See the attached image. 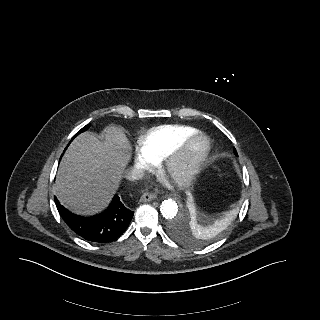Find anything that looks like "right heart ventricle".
Returning a JSON list of instances; mask_svg holds the SVG:
<instances>
[{
    "label": "right heart ventricle",
    "mask_w": 320,
    "mask_h": 320,
    "mask_svg": "<svg viewBox=\"0 0 320 320\" xmlns=\"http://www.w3.org/2000/svg\"><path fill=\"white\" fill-rule=\"evenodd\" d=\"M196 132L190 126L164 125L147 132L138 142L139 151L154 163L164 160L189 135Z\"/></svg>",
    "instance_id": "obj_1"
}]
</instances>
